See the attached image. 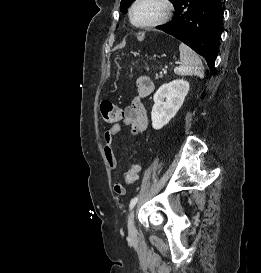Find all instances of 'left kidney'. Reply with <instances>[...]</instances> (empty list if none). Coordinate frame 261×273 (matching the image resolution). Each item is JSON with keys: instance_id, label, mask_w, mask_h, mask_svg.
I'll return each instance as SVG.
<instances>
[{"instance_id": "1", "label": "left kidney", "mask_w": 261, "mask_h": 273, "mask_svg": "<svg viewBox=\"0 0 261 273\" xmlns=\"http://www.w3.org/2000/svg\"><path fill=\"white\" fill-rule=\"evenodd\" d=\"M188 91L189 83L183 79L163 84L156 91L151 112L152 127L155 130L161 129L176 115Z\"/></svg>"}]
</instances>
